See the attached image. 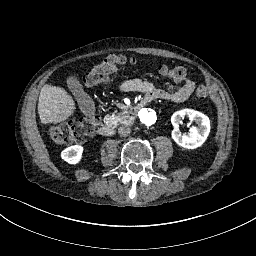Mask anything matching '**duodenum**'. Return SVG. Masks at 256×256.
<instances>
[{"mask_svg": "<svg viewBox=\"0 0 256 256\" xmlns=\"http://www.w3.org/2000/svg\"><path fill=\"white\" fill-rule=\"evenodd\" d=\"M147 104H148L147 99L145 98L140 99L137 105L133 106L131 117L133 118L135 114L140 113L141 109L146 108ZM98 133L102 137H109L113 134V127L109 124L101 125L98 129Z\"/></svg>", "mask_w": 256, "mask_h": 256, "instance_id": "410a0bca", "label": "duodenum"}]
</instances>
